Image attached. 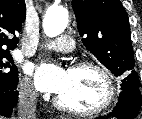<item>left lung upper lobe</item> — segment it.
I'll return each instance as SVG.
<instances>
[{"label": "left lung upper lobe", "instance_id": "left-lung-upper-lobe-1", "mask_svg": "<svg viewBox=\"0 0 142 119\" xmlns=\"http://www.w3.org/2000/svg\"><path fill=\"white\" fill-rule=\"evenodd\" d=\"M82 42L122 81L121 89L142 87L134 69L127 13L119 0H72Z\"/></svg>", "mask_w": 142, "mask_h": 119}]
</instances>
